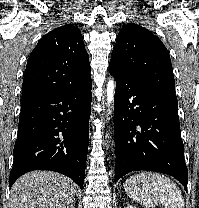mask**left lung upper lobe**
Segmentation results:
<instances>
[{
	"label": "left lung upper lobe",
	"instance_id": "left-lung-upper-lobe-1",
	"mask_svg": "<svg viewBox=\"0 0 199 208\" xmlns=\"http://www.w3.org/2000/svg\"><path fill=\"white\" fill-rule=\"evenodd\" d=\"M110 64L131 77L175 94V81L169 53L148 29L129 23L120 30Z\"/></svg>",
	"mask_w": 199,
	"mask_h": 208
}]
</instances>
